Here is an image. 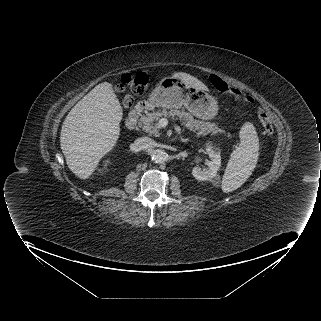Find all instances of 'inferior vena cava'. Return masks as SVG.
I'll return each instance as SVG.
<instances>
[{
  "mask_svg": "<svg viewBox=\"0 0 321 321\" xmlns=\"http://www.w3.org/2000/svg\"><path fill=\"white\" fill-rule=\"evenodd\" d=\"M135 145L138 150L143 151L153 148L155 145V141L149 137H140L135 140Z\"/></svg>",
  "mask_w": 321,
  "mask_h": 321,
  "instance_id": "1",
  "label": "inferior vena cava"
}]
</instances>
